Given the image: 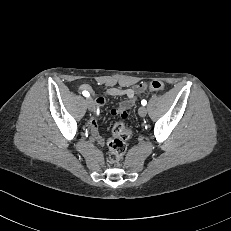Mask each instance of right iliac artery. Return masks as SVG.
I'll return each mask as SVG.
<instances>
[{
  "instance_id": "1",
  "label": "right iliac artery",
  "mask_w": 231,
  "mask_h": 231,
  "mask_svg": "<svg viewBox=\"0 0 231 231\" xmlns=\"http://www.w3.org/2000/svg\"><path fill=\"white\" fill-rule=\"evenodd\" d=\"M82 94L85 96V97H89V93L87 91H83ZM99 113V110H97V114Z\"/></svg>"
}]
</instances>
